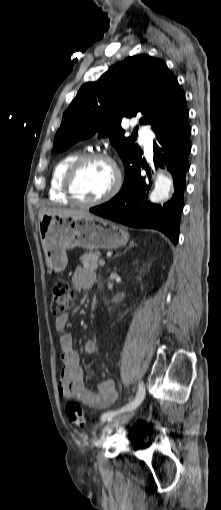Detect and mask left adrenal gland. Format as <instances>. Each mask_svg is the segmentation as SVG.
<instances>
[{
  "instance_id": "left-adrenal-gland-1",
  "label": "left adrenal gland",
  "mask_w": 221,
  "mask_h": 510,
  "mask_svg": "<svg viewBox=\"0 0 221 510\" xmlns=\"http://www.w3.org/2000/svg\"><path fill=\"white\" fill-rule=\"evenodd\" d=\"M136 244L134 243V241H130L129 243V246L127 249H125V251L123 253H121L120 255L122 254H125L129 249H131L132 247H134ZM118 256V255H117Z\"/></svg>"
}]
</instances>
